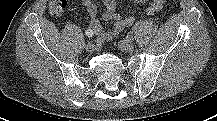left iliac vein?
Instances as JSON below:
<instances>
[{"label":"left iliac vein","instance_id":"1","mask_svg":"<svg viewBox=\"0 0 217 121\" xmlns=\"http://www.w3.org/2000/svg\"><path fill=\"white\" fill-rule=\"evenodd\" d=\"M118 46L122 51L125 52H130L134 48V44L130 40H121L119 41Z\"/></svg>","mask_w":217,"mask_h":121}]
</instances>
